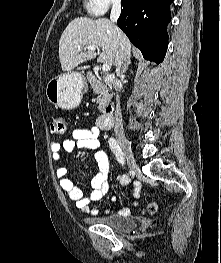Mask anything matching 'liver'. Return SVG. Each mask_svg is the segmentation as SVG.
Listing matches in <instances>:
<instances>
[{
	"mask_svg": "<svg viewBox=\"0 0 221 263\" xmlns=\"http://www.w3.org/2000/svg\"><path fill=\"white\" fill-rule=\"evenodd\" d=\"M122 44V46L120 45ZM87 46L101 47L99 62L114 64L119 51L122 61L130 59L131 43L117 26L105 18L77 17L65 28L59 40V59L63 71H70L83 62L94 59L95 51ZM89 66L79 67L86 69Z\"/></svg>",
	"mask_w": 221,
	"mask_h": 263,
	"instance_id": "6515ba94",
	"label": "liver"
}]
</instances>
